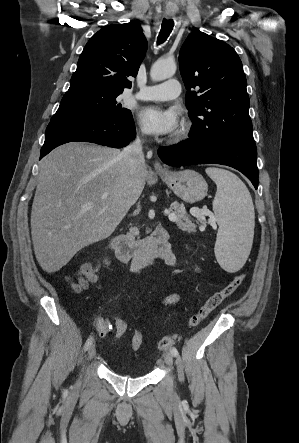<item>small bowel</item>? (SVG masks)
Wrapping results in <instances>:
<instances>
[{
    "mask_svg": "<svg viewBox=\"0 0 299 443\" xmlns=\"http://www.w3.org/2000/svg\"><path fill=\"white\" fill-rule=\"evenodd\" d=\"M161 259L166 263V265L170 267H174L177 264V258L172 252H168ZM131 270L134 274L139 275L142 271V267L132 264ZM180 302V297L177 294H170L166 296L163 300V304L165 305H175ZM97 330L98 335L100 337H105L109 333H111V323L108 318H98L97 322ZM134 354H138V351H134Z\"/></svg>",
    "mask_w": 299,
    "mask_h": 443,
    "instance_id": "1",
    "label": "small bowel"
}]
</instances>
